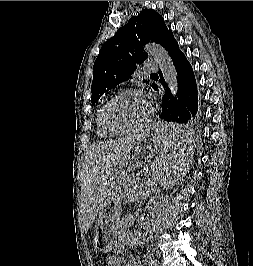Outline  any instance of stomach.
Wrapping results in <instances>:
<instances>
[{
	"mask_svg": "<svg viewBox=\"0 0 253 266\" xmlns=\"http://www.w3.org/2000/svg\"><path fill=\"white\" fill-rule=\"evenodd\" d=\"M163 138H171V136L169 132H161L160 126H158L153 135V143H147L145 138H141L113 167L108 178L103 212L93 237L94 248L97 251L107 253L117 244V229L121 219L120 199L124 179L131 171L157 156L158 150H162Z\"/></svg>",
	"mask_w": 253,
	"mask_h": 266,
	"instance_id": "stomach-1",
	"label": "stomach"
}]
</instances>
